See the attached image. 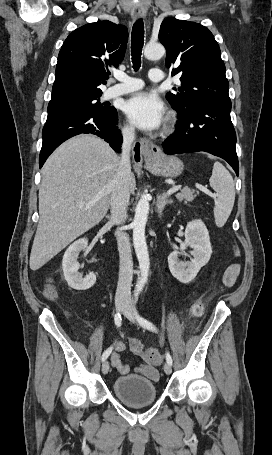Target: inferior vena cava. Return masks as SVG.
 Listing matches in <instances>:
<instances>
[{"label":"inferior vena cava","mask_w":272,"mask_h":455,"mask_svg":"<svg viewBox=\"0 0 272 455\" xmlns=\"http://www.w3.org/2000/svg\"><path fill=\"white\" fill-rule=\"evenodd\" d=\"M122 154L118 168L112 181L111 194V222L121 225L127 218V208L130 199L129 178L131 175L130 151L135 139V128L125 127L122 130ZM116 239L120 258L119 280L116 296L130 298L133 274V262L129 236L122 231L116 232Z\"/></svg>","instance_id":"1"}]
</instances>
